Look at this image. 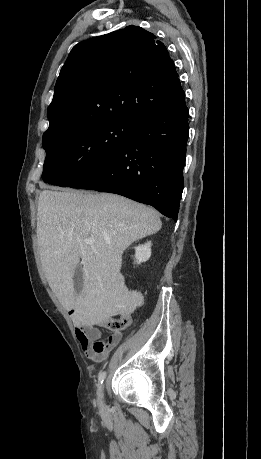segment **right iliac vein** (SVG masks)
I'll list each match as a JSON object with an SVG mask.
<instances>
[{
  "mask_svg": "<svg viewBox=\"0 0 261 459\" xmlns=\"http://www.w3.org/2000/svg\"><path fill=\"white\" fill-rule=\"evenodd\" d=\"M97 394H98L100 405L103 406V403H104V385H101L98 388Z\"/></svg>",
  "mask_w": 261,
  "mask_h": 459,
  "instance_id": "right-iliac-vein-1",
  "label": "right iliac vein"
}]
</instances>
